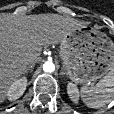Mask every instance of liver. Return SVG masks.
Instances as JSON below:
<instances>
[{"instance_id": "1", "label": "liver", "mask_w": 114, "mask_h": 114, "mask_svg": "<svg viewBox=\"0 0 114 114\" xmlns=\"http://www.w3.org/2000/svg\"><path fill=\"white\" fill-rule=\"evenodd\" d=\"M86 23L56 14L8 16L0 18V103L7 91L40 59L42 46L59 44L66 35Z\"/></svg>"}]
</instances>
